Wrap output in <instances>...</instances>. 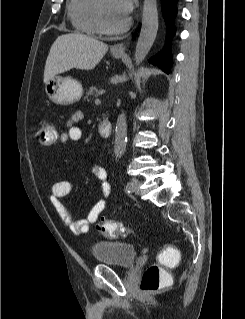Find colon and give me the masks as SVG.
I'll return each mask as SVG.
<instances>
[{"mask_svg":"<svg viewBox=\"0 0 245 319\" xmlns=\"http://www.w3.org/2000/svg\"><path fill=\"white\" fill-rule=\"evenodd\" d=\"M35 135L40 145L50 146L56 140L57 131L50 123H42L36 128ZM96 229L98 233L109 238H125L128 235V229L125 226L111 219H102L97 223ZM179 259L178 253H171L168 250L159 255L161 263H173ZM168 282V277L163 269L158 265H151L144 273L140 288L145 293H154L166 286Z\"/></svg>","mask_w":245,"mask_h":319,"instance_id":"colon-1","label":"colon"}]
</instances>
